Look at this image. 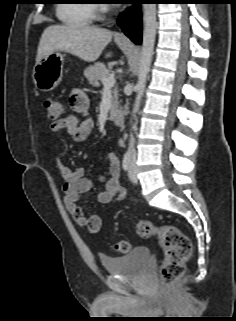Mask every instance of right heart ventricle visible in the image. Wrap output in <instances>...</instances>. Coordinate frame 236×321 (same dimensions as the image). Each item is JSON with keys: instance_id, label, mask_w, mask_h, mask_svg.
<instances>
[{"instance_id": "1", "label": "right heart ventricle", "mask_w": 236, "mask_h": 321, "mask_svg": "<svg viewBox=\"0 0 236 321\" xmlns=\"http://www.w3.org/2000/svg\"><path fill=\"white\" fill-rule=\"evenodd\" d=\"M90 0H67L57 8V16L67 25L84 26L92 22L95 6Z\"/></svg>"}]
</instances>
